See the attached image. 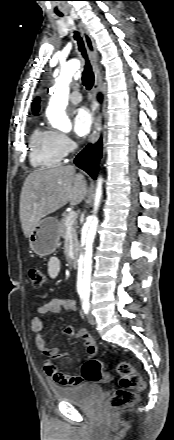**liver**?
<instances>
[{"instance_id": "1", "label": "liver", "mask_w": 174, "mask_h": 440, "mask_svg": "<svg viewBox=\"0 0 174 440\" xmlns=\"http://www.w3.org/2000/svg\"><path fill=\"white\" fill-rule=\"evenodd\" d=\"M87 194V183L73 166L39 168L25 179L20 195V221L25 237H29L45 216L68 202L77 205Z\"/></svg>"}]
</instances>
